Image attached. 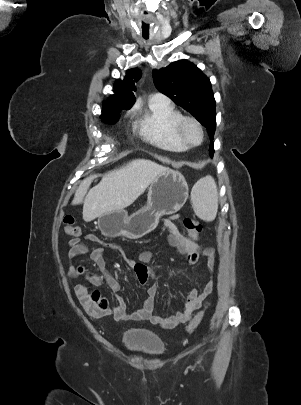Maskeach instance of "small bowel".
<instances>
[{"instance_id": "c3829d8e", "label": "small bowel", "mask_w": 301, "mask_h": 405, "mask_svg": "<svg viewBox=\"0 0 301 405\" xmlns=\"http://www.w3.org/2000/svg\"><path fill=\"white\" fill-rule=\"evenodd\" d=\"M178 217L179 215L176 214L163 219V225L168 231V244L176 249L190 265L196 264L201 257H204L207 260L208 265L212 267L215 256L214 250L210 247H202L197 242H194L192 237L189 238L182 235L173 223V220ZM84 239L97 244V247L91 253V258L98 267L100 274L93 275L89 273L85 266L75 263V259L78 256L86 254L88 248L80 238L74 237L68 242L70 246V263L67 266L68 275L72 277L85 275L87 279L95 285L105 284L117 300L116 305L108 309V313L112 314L117 321L128 319L137 321L148 320L154 325H160L164 328L172 329L175 326L188 321L213 290L212 280L208 281L201 290L193 288L188 294L185 307L182 310L176 311L169 316H160L153 314L155 296L158 292V286L153 285L149 288V298L144 302L143 306L129 313L127 311L126 302L118 294L120 290L119 282L106 269L105 250L118 249V246L104 241L94 234H86L84 235ZM124 260L134 270L141 285L147 284L149 279L156 277V273L147 266V264L152 261V254L150 252H141L139 254V261H135L129 257H124ZM86 293L87 289L84 286L80 285L76 287V294L81 301Z\"/></svg>"}]
</instances>
